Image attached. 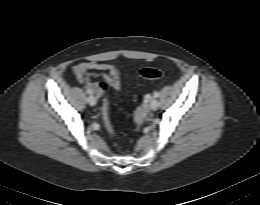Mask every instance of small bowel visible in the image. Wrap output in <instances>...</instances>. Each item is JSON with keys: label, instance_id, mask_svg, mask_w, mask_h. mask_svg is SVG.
<instances>
[{"label": "small bowel", "instance_id": "c3829d8e", "mask_svg": "<svg viewBox=\"0 0 260 205\" xmlns=\"http://www.w3.org/2000/svg\"><path fill=\"white\" fill-rule=\"evenodd\" d=\"M73 73L77 81L91 90L96 96H101V90L91 78L96 74H101L107 78L114 90L121 89V74L118 68L110 64H99L93 62H82L73 68Z\"/></svg>", "mask_w": 260, "mask_h": 205}]
</instances>
